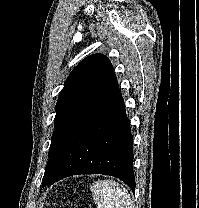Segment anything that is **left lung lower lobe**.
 I'll return each instance as SVG.
<instances>
[{
	"label": "left lung lower lobe",
	"mask_w": 199,
	"mask_h": 208,
	"mask_svg": "<svg viewBox=\"0 0 199 208\" xmlns=\"http://www.w3.org/2000/svg\"><path fill=\"white\" fill-rule=\"evenodd\" d=\"M130 122L116 90L73 132L61 149L46 185L76 174H105L124 181L134 192Z\"/></svg>",
	"instance_id": "left-lung-lower-lobe-1"
}]
</instances>
